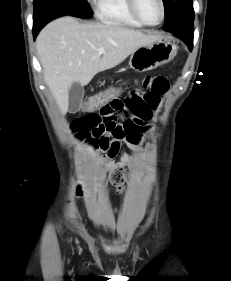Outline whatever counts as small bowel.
I'll use <instances>...</instances> for the list:
<instances>
[{"instance_id":"small-bowel-1","label":"small bowel","mask_w":231,"mask_h":281,"mask_svg":"<svg viewBox=\"0 0 231 281\" xmlns=\"http://www.w3.org/2000/svg\"><path fill=\"white\" fill-rule=\"evenodd\" d=\"M120 95L101 107L98 112H89L71 123V130L80 140L86 139L95 149L103 152L102 162L108 169L137 165L130 155L124 153L119 161L122 141L137 149L141 133L149 129V121L158 108L160 98L169 89L168 80L161 75H146L142 78L121 79L115 85Z\"/></svg>"}]
</instances>
